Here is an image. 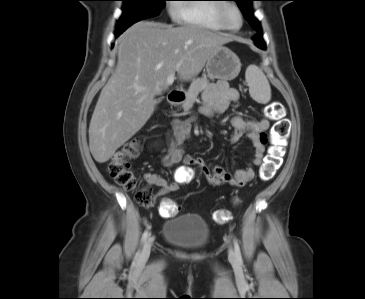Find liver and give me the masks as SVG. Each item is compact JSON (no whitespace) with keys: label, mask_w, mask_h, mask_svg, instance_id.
<instances>
[{"label":"liver","mask_w":365,"mask_h":299,"mask_svg":"<svg viewBox=\"0 0 365 299\" xmlns=\"http://www.w3.org/2000/svg\"><path fill=\"white\" fill-rule=\"evenodd\" d=\"M232 38L193 25L141 21L118 40L116 69L103 87L89 125V148L99 163L107 162L152 116L156 94L177 72L195 78L210 55Z\"/></svg>","instance_id":"obj_1"}]
</instances>
